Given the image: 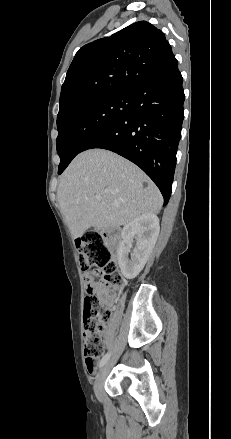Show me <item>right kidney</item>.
I'll return each instance as SVG.
<instances>
[{"mask_svg": "<svg viewBox=\"0 0 231 439\" xmlns=\"http://www.w3.org/2000/svg\"><path fill=\"white\" fill-rule=\"evenodd\" d=\"M159 219L155 214H143L122 229L118 249V265L127 279H134L144 268L159 234ZM137 244L131 252L133 237ZM131 252V259L128 254Z\"/></svg>", "mask_w": 231, "mask_h": 439, "instance_id": "right-kidney-1", "label": "right kidney"}]
</instances>
